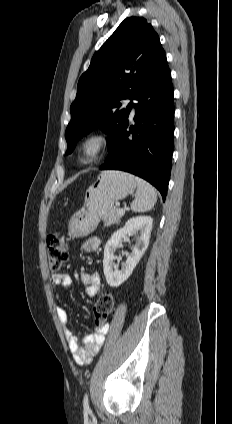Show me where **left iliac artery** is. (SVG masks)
Wrapping results in <instances>:
<instances>
[{"label":"left iliac artery","instance_id":"obj_1","mask_svg":"<svg viewBox=\"0 0 232 424\" xmlns=\"http://www.w3.org/2000/svg\"><path fill=\"white\" fill-rule=\"evenodd\" d=\"M83 406H84L85 411H90L87 394H85V396H84Z\"/></svg>","mask_w":232,"mask_h":424}]
</instances>
